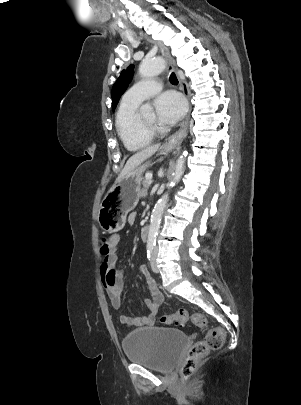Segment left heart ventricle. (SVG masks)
I'll list each match as a JSON object with an SVG mask.
<instances>
[{
	"label": "left heart ventricle",
	"instance_id": "b2bd125f",
	"mask_svg": "<svg viewBox=\"0 0 301 405\" xmlns=\"http://www.w3.org/2000/svg\"><path fill=\"white\" fill-rule=\"evenodd\" d=\"M141 120H142L145 124H148V125L157 124V118H156L155 114H153V113H149V114L143 115V116L141 117Z\"/></svg>",
	"mask_w": 301,
	"mask_h": 405
}]
</instances>
